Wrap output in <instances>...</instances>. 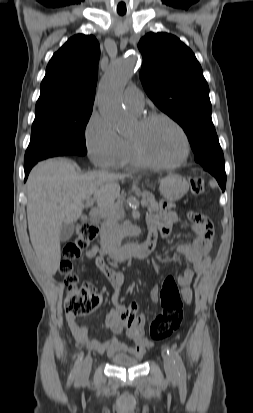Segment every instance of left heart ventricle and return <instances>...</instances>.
I'll return each instance as SVG.
<instances>
[{
	"label": "left heart ventricle",
	"mask_w": 253,
	"mask_h": 413,
	"mask_svg": "<svg viewBox=\"0 0 253 413\" xmlns=\"http://www.w3.org/2000/svg\"><path fill=\"white\" fill-rule=\"evenodd\" d=\"M132 138L137 139L145 153L157 162H175L183 153L184 144L181 135L164 120L155 121L145 127L138 124Z\"/></svg>",
	"instance_id": "left-heart-ventricle-1"
}]
</instances>
